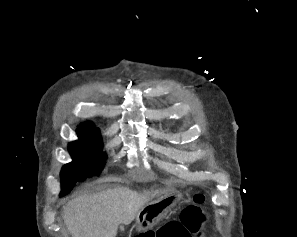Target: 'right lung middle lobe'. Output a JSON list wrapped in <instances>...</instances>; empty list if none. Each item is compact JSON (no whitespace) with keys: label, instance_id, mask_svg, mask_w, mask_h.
Listing matches in <instances>:
<instances>
[{"label":"right lung middle lobe","instance_id":"right-lung-middle-lobe-1","mask_svg":"<svg viewBox=\"0 0 297 237\" xmlns=\"http://www.w3.org/2000/svg\"><path fill=\"white\" fill-rule=\"evenodd\" d=\"M79 140L69 143L73 161L61 170L62 193H69L76 182L98 175L104 166L105 156L101 151L102 139L99 133L86 135L78 133Z\"/></svg>","mask_w":297,"mask_h":237}]
</instances>
